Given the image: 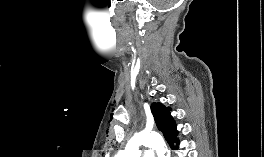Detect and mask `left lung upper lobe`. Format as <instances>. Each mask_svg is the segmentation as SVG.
<instances>
[{"label":"left lung upper lobe","instance_id":"left-lung-upper-lobe-1","mask_svg":"<svg viewBox=\"0 0 264 157\" xmlns=\"http://www.w3.org/2000/svg\"><path fill=\"white\" fill-rule=\"evenodd\" d=\"M170 108L165 107L161 103H153L151 105V112L154 116L158 129L163 133L164 138L172 147L174 143H178L175 122L170 116Z\"/></svg>","mask_w":264,"mask_h":157}]
</instances>
